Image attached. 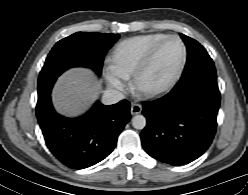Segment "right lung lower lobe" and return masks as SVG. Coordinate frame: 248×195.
I'll return each instance as SVG.
<instances>
[{
    "label": "right lung lower lobe",
    "mask_w": 248,
    "mask_h": 195,
    "mask_svg": "<svg viewBox=\"0 0 248 195\" xmlns=\"http://www.w3.org/2000/svg\"><path fill=\"white\" fill-rule=\"evenodd\" d=\"M56 79L38 85L36 115L51 153L64 165L83 169L105 159L130 120V103L122 100L106 106L96 102L83 116L65 118L56 113L51 89Z\"/></svg>",
    "instance_id": "1"
}]
</instances>
